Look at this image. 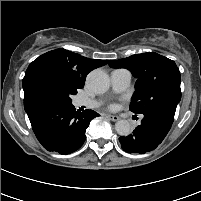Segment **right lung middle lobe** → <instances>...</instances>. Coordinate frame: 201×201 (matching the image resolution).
<instances>
[{
  "instance_id": "1",
  "label": "right lung middle lobe",
  "mask_w": 201,
  "mask_h": 201,
  "mask_svg": "<svg viewBox=\"0 0 201 201\" xmlns=\"http://www.w3.org/2000/svg\"><path fill=\"white\" fill-rule=\"evenodd\" d=\"M34 90L37 94H42L65 103H71L70 96L77 93V88L50 72H45L37 77L34 83Z\"/></svg>"
}]
</instances>
